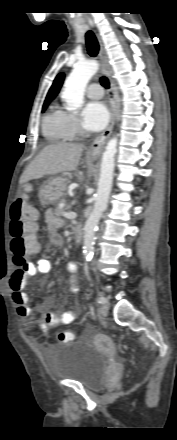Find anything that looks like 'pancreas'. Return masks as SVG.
I'll return each instance as SVG.
<instances>
[{
  "mask_svg": "<svg viewBox=\"0 0 177 440\" xmlns=\"http://www.w3.org/2000/svg\"><path fill=\"white\" fill-rule=\"evenodd\" d=\"M60 202H64V199H61ZM63 213H64V209L61 208L58 204L55 208V215L56 216H63Z\"/></svg>",
  "mask_w": 177,
  "mask_h": 440,
  "instance_id": "cf45deb5",
  "label": "pancreas"
}]
</instances>
